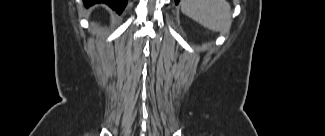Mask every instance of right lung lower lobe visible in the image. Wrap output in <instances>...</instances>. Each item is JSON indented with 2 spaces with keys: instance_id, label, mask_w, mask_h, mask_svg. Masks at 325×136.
<instances>
[{
  "instance_id": "obj_1",
  "label": "right lung lower lobe",
  "mask_w": 325,
  "mask_h": 136,
  "mask_svg": "<svg viewBox=\"0 0 325 136\" xmlns=\"http://www.w3.org/2000/svg\"><path fill=\"white\" fill-rule=\"evenodd\" d=\"M86 6L93 5L95 3H106L117 13H121L127 4V0H84Z\"/></svg>"
}]
</instances>
